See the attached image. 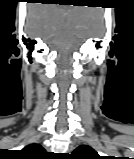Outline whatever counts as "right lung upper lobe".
<instances>
[{
  "label": "right lung upper lobe",
  "instance_id": "1",
  "mask_svg": "<svg viewBox=\"0 0 134 159\" xmlns=\"http://www.w3.org/2000/svg\"><path fill=\"white\" fill-rule=\"evenodd\" d=\"M22 151L33 157V159H38L37 155L43 153L44 149L38 144H31L22 149Z\"/></svg>",
  "mask_w": 134,
  "mask_h": 159
}]
</instances>
